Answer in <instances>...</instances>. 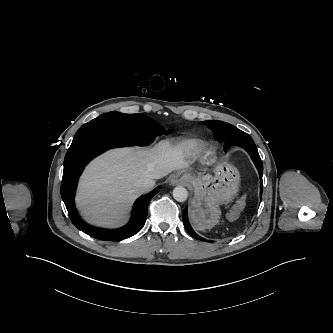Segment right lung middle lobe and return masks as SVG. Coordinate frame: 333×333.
Wrapping results in <instances>:
<instances>
[{
    "mask_svg": "<svg viewBox=\"0 0 333 333\" xmlns=\"http://www.w3.org/2000/svg\"><path fill=\"white\" fill-rule=\"evenodd\" d=\"M90 132H104L143 146L152 143L158 135L170 134L171 130L166 131L156 121L142 114L109 112L84 124L74 138Z\"/></svg>",
    "mask_w": 333,
    "mask_h": 333,
    "instance_id": "obj_1",
    "label": "right lung middle lobe"
}]
</instances>
